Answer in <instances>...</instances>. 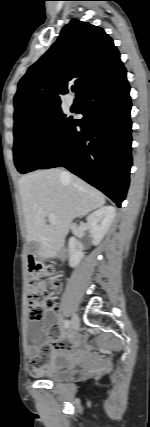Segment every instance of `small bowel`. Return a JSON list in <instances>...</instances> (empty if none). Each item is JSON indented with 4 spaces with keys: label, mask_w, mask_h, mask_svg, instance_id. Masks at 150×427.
<instances>
[{
    "label": "small bowel",
    "mask_w": 150,
    "mask_h": 427,
    "mask_svg": "<svg viewBox=\"0 0 150 427\" xmlns=\"http://www.w3.org/2000/svg\"><path fill=\"white\" fill-rule=\"evenodd\" d=\"M51 307L54 312H57L60 306L55 302ZM55 321V316L49 313L42 322L33 324L30 327L33 344L28 346L27 355L29 357L28 369L33 375L48 373L49 365L46 366V364L50 349L57 351L83 345V340L80 338L73 340L61 338V333L56 327Z\"/></svg>",
    "instance_id": "c3829d8e"
}]
</instances>
